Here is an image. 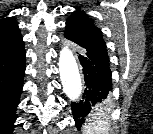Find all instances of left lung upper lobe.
Returning a JSON list of instances; mask_svg holds the SVG:
<instances>
[{"instance_id": "5c2ea615", "label": "left lung upper lobe", "mask_w": 153, "mask_h": 134, "mask_svg": "<svg viewBox=\"0 0 153 134\" xmlns=\"http://www.w3.org/2000/svg\"><path fill=\"white\" fill-rule=\"evenodd\" d=\"M64 36L85 49L86 52L108 59L102 33L80 9L68 17Z\"/></svg>"}]
</instances>
